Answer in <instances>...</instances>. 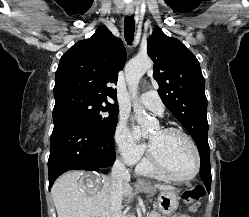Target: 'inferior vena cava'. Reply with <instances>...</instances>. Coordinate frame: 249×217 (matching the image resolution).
Masks as SVG:
<instances>
[{
  "mask_svg": "<svg viewBox=\"0 0 249 217\" xmlns=\"http://www.w3.org/2000/svg\"><path fill=\"white\" fill-rule=\"evenodd\" d=\"M130 180L128 169L120 160H116L111 172V196L110 202L113 208H119L122 201L123 185Z\"/></svg>",
  "mask_w": 249,
  "mask_h": 217,
  "instance_id": "1",
  "label": "inferior vena cava"
}]
</instances>
